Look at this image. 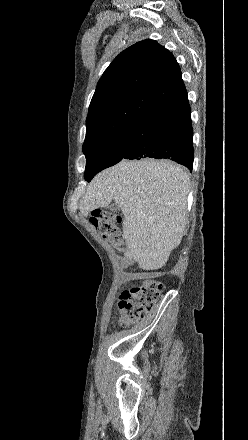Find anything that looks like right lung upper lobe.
<instances>
[{
  "label": "right lung upper lobe",
  "mask_w": 248,
  "mask_h": 440,
  "mask_svg": "<svg viewBox=\"0 0 248 440\" xmlns=\"http://www.w3.org/2000/svg\"><path fill=\"white\" fill-rule=\"evenodd\" d=\"M186 94L172 53L151 39L135 43L113 60L98 82L83 148L129 129L153 110Z\"/></svg>",
  "instance_id": "right-lung-upper-lobe-1"
}]
</instances>
